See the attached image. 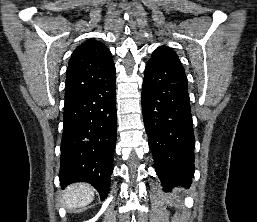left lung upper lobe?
<instances>
[{"label": "left lung upper lobe", "instance_id": "5c2ea615", "mask_svg": "<svg viewBox=\"0 0 257 222\" xmlns=\"http://www.w3.org/2000/svg\"><path fill=\"white\" fill-rule=\"evenodd\" d=\"M151 59L165 63L168 66H171V67L184 73V68L178 58V55L170 47H166V46L158 47L153 52Z\"/></svg>", "mask_w": 257, "mask_h": 222}]
</instances>
